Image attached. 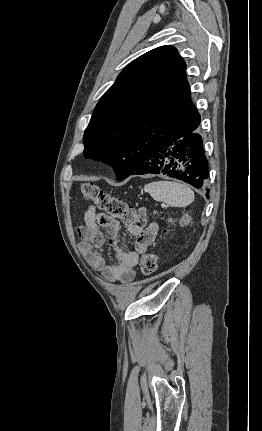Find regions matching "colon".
Returning a JSON list of instances; mask_svg holds the SVG:
<instances>
[{"label": "colon", "mask_w": 262, "mask_h": 431, "mask_svg": "<svg viewBox=\"0 0 262 431\" xmlns=\"http://www.w3.org/2000/svg\"><path fill=\"white\" fill-rule=\"evenodd\" d=\"M82 195L91 201L100 211L112 219L120 220L125 225L144 226L147 223V214L144 209L128 206L121 198L103 190L97 184L85 183L81 187ZM169 225H173L171 220ZM138 267L143 275H151L158 268V257L155 253H146L141 256Z\"/></svg>", "instance_id": "5ec220e1"}]
</instances>
